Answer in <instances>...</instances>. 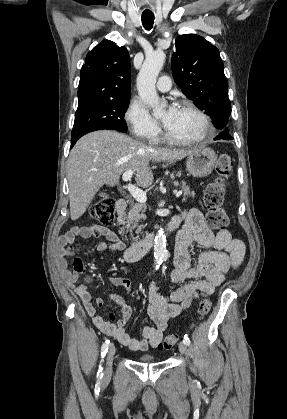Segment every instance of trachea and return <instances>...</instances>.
<instances>
[{"label":"trachea","instance_id":"3493384b","mask_svg":"<svg viewBox=\"0 0 287 419\" xmlns=\"http://www.w3.org/2000/svg\"><path fill=\"white\" fill-rule=\"evenodd\" d=\"M142 24L146 30H150L153 27L154 15L153 14H142Z\"/></svg>","mask_w":287,"mask_h":419}]
</instances>
